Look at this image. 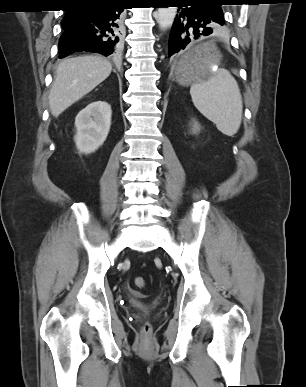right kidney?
<instances>
[{
    "instance_id": "1",
    "label": "right kidney",
    "mask_w": 306,
    "mask_h": 387,
    "mask_svg": "<svg viewBox=\"0 0 306 387\" xmlns=\"http://www.w3.org/2000/svg\"><path fill=\"white\" fill-rule=\"evenodd\" d=\"M111 106L95 101L82 109L75 118L74 141L80 153L95 152L106 140L111 126Z\"/></svg>"
}]
</instances>
